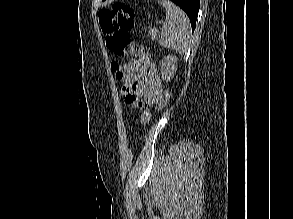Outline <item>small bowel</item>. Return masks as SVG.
Masks as SVG:
<instances>
[{"label":"small bowel","instance_id":"small-bowel-1","mask_svg":"<svg viewBox=\"0 0 293 219\" xmlns=\"http://www.w3.org/2000/svg\"><path fill=\"white\" fill-rule=\"evenodd\" d=\"M122 79V92L127 103L143 110L141 121L146 122L149 119L147 110L159 103L162 96V81L157 67L149 62L139 71L125 74Z\"/></svg>","mask_w":293,"mask_h":219}]
</instances>
